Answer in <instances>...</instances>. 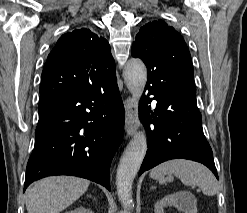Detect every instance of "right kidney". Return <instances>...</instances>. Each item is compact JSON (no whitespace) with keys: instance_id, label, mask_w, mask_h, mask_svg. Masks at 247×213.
Here are the masks:
<instances>
[{"instance_id":"ca27d5eb","label":"right kidney","mask_w":247,"mask_h":213,"mask_svg":"<svg viewBox=\"0 0 247 213\" xmlns=\"http://www.w3.org/2000/svg\"><path fill=\"white\" fill-rule=\"evenodd\" d=\"M65 213H93L90 209L83 206H79L73 210L67 211Z\"/></svg>"}]
</instances>
